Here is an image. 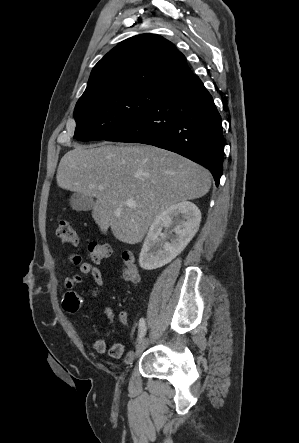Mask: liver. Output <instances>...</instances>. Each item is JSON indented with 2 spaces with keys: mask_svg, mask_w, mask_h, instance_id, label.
Returning <instances> with one entry per match:
<instances>
[{
  "mask_svg": "<svg viewBox=\"0 0 299 443\" xmlns=\"http://www.w3.org/2000/svg\"><path fill=\"white\" fill-rule=\"evenodd\" d=\"M56 180L62 189L95 197L92 217L100 230L105 234L110 227L127 244L140 242L166 208L200 198L211 187L204 167L143 145H77L60 160Z\"/></svg>",
  "mask_w": 299,
  "mask_h": 443,
  "instance_id": "obj_1",
  "label": "liver"
}]
</instances>
